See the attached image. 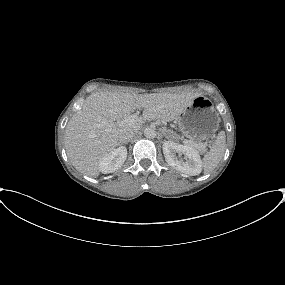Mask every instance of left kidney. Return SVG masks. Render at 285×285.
Segmentation results:
<instances>
[{"label":"left kidney","instance_id":"left-kidney-1","mask_svg":"<svg viewBox=\"0 0 285 285\" xmlns=\"http://www.w3.org/2000/svg\"><path fill=\"white\" fill-rule=\"evenodd\" d=\"M163 154L166 162L178 170L190 176H195L202 171V161L199 152L190 145H182L173 141L163 143ZM184 154L187 160H179L177 155Z\"/></svg>","mask_w":285,"mask_h":285}]
</instances>
